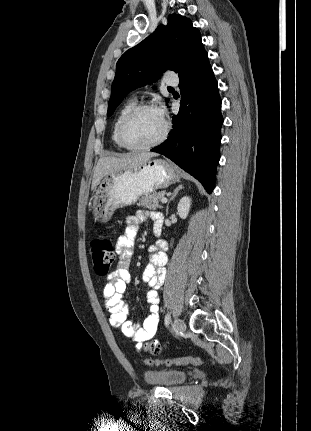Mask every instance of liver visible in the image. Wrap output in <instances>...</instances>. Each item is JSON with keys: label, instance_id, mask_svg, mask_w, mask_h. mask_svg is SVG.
Segmentation results:
<instances>
[{"label": "liver", "instance_id": "obj_1", "mask_svg": "<svg viewBox=\"0 0 311 431\" xmlns=\"http://www.w3.org/2000/svg\"><path fill=\"white\" fill-rule=\"evenodd\" d=\"M158 154H151V152H140V154H124L121 158H100L97 162L95 172L93 174L91 190H95L99 186L101 180L113 174V172H120V170H138L140 166H144L151 158H156Z\"/></svg>", "mask_w": 311, "mask_h": 431}]
</instances>
